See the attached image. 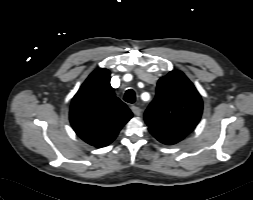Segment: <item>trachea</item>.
<instances>
[{
	"mask_svg": "<svg viewBox=\"0 0 253 200\" xmlns=\"http://www.w3.org/2000/svg\"><path fill=\"white\" fill-rule=\"evenodd\" d=\"M124 100L128 103H134L136 100L135 92L132 89H128L125 92Z\"/></svg>",
	"mask_w": 253,
	"mask_h": 200,
	"instance_id": "1",
	"label": "trachea"
}]
</instances>
